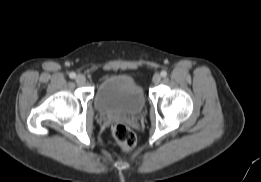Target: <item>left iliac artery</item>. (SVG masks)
Instances as JSON below:
<instances>
[{
	"mask_svg": "<svg viewBox=\"0 0 261 182\" xmlns=\"http://www.w3.org/2000/svg\"><path fill=\"white\" fill-rule=\"evenodd\" d=\"M161 76L162 77H166L167 76V72L165 70L161 71Z\"/></svg>",
	"mask_w": 261,
	"mask_h": 182,
	"instance_id": "1",
	"label": "left iliac artery"
}]
</instances>
